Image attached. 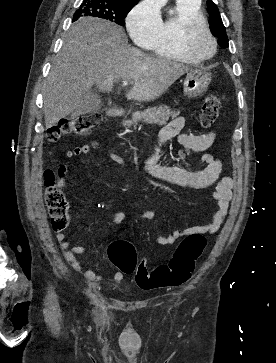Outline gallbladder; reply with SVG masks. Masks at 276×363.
<instances>
[{
	"mask_svg": "<svg viewBox=\"0 0 276 363\" xmlns=\"http://www.w3.org/2000/svg\"><path fill=\"white\" fill-rule=\"evenodd\" d=\"M100 96L92 89L84 96L82 103L72 112L71 117L76 118L80 115L97 111L101 108Z\"/></svg>",
	"mask_w": 276,
	"mask_h": 363,
	"instance_id": "bac80fb5",
	"label": "gallbladder"
}]
</instances>
